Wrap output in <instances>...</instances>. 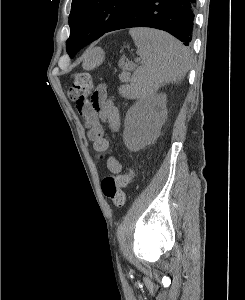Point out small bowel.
Wrapping results in <instances>:
<instances>
[{
	"instance_id": "obj_1",
	"label": "small bowel",
	"mask_w": 245,
	"mask_h": 300,
	"mask_svg": "<svg viewBox=\"0 0 245 300\" xmlns=\"http://www.w3.org/2000/svg\"><path fill=\"white\" fill-rule=\"evenodd\" d=\"M76 109L84 122L94 150L101 154L107 152L110 142L105 135L104 125L107 124L113 131H119L121 118L118 108L109 97L106 85L100 84L90 98H79L76 101ZM106 167L112 174H119L122 170L121 163L114 155L107 157Z\"/></svg>"
}]
</instances>
